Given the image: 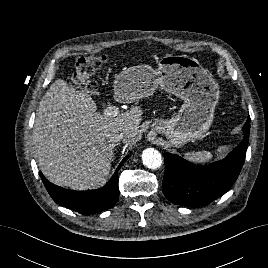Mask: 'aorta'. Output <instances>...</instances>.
Instances as JSON below:
<instances>
[{
	"label": "aorta",
	"mask_w": 268,
	"mask_h": 268,
	"mask_svg": "<svg viewBox=\"0 0 268 268\" xmlns=\"http://www.w3.org/2000/svg\"><path fill=\"white\" fill-rule=\"evenodd\" d=\"M142 161L149 169H157L162 165V156L158 150L146 148L142 152Z\"/></svg>",
	"instance_id": "1"
}]
</instances>
